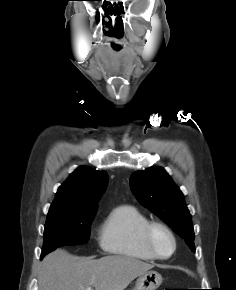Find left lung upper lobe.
I'll return each mask as SVG.
<instances>
[{
  "label": "left lung upper lobe",
  "instance_id": "left-lung-upper-lobe-1",
  "mask_svg": "<svg viewBox=\"0 0 236 290\" xmlns=\"http://www.w3.org/2000/svg\"><path fill=\"white\" fill-rule=\"evenodd\" d=\"M130 185L138 201L163 220L195 251L190 212L179 187L161 167L136 171Z\"/></svg>",
  "mask_w": 236,
  "mask_h": 290
}]
</instances>
